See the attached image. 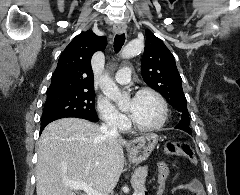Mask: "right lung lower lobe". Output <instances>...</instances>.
Listing matches in <instances>:
<instances>
[{
	"instance_id": "98d812e1",
	"label": "right lung lower lobe",
	"mask_w": 240,
	"mask_h": 195,
	"mask_svg": "<svg viewBox=\"0 0 240 195\" xmlns=\"http://www.w3.org/2000/svg\"><path fill=\"white\" fill-rule=\"evenodd\" d=\"M71 117H77V118H83V119H87L90 120L92 122H97L98 121V117L97 116H89V115H77V116H71ZM60 119V118H59ZM57 120V119H55ZM54 120L42 123L41 128H40V133L42 132V130L44 129L45 126H47L50 122H52Z\"/></svg>"
}]
</instances>
